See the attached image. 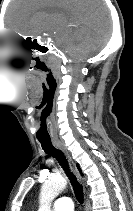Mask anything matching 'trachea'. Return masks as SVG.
<instances>
[{
    "label": "trachea",
    "mask_w": 133,
    "mask_h": 211,
    "mask_svg": "<svg viewBox=\"0 0 133 211\" xmlns=\"http://www.w3.org/2000/svg\"><path fill=\"white\" fill-rule=\"evenodd\" d=\"M41 143V146L45 153L55 157L62 168L65 170L67 176L69 177L70 183L73 187L76 199L78 200L79 203L83 202V188L82 186L78 183L75 175L71 172L69 168V164L62 153L59 149L55 148L54 145L52 144L51 141H39Z\"/></svg>",
    "instance_id": "obj_1"
}]
</instances>
